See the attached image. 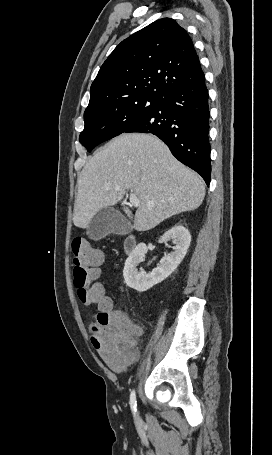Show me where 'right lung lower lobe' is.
Returning <instances> with one entry per match:
<instances>
[{"mask_svg":"<svg viewBox=\"0 0 272 455\" xmlns=\"http://www.w3.org/2000/svg\"><path fill=\"white\" fill-rule=\"evenodd\" d=\"M158 136L183 164L210 183L208 90L204 74L166 93L158 107L130 126L125 133Z\"/></svg>","mask_w":272,"mask_h":455,"instance_id":"98d812e1","label":"right lung lower lobe"}]
</instances>
